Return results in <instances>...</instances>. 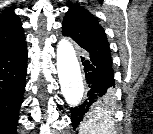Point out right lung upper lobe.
<instances>
[{
    "label": "right lung upper lobe",
    "mask_w": 153,
    "mask_h": 134,
    "mask_svg": "<svg viewBox=\"0 0 153 134\" xmlns=\"http://www.w3.org/2000/svg\"><path fill=\"white\" fill-rule=\"evenodd\" d=\"M25 41L21 21L13 10L0 15V54Z\"/></svg>",
    "instance_id": "right-lung-upper-lobe-1"
}]
</instances>
